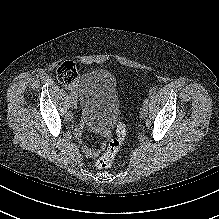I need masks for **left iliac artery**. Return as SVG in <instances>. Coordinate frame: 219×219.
<instances>
[{
  "label": "left iliac artery",
  "mask_w": 219,
  "mask_h": 219,
  "mask_svg": "<svg viewBox=\"0 0 219 219\" xmlns=\"http://www.w3.org/2000/svg\"><path fill=\"white\" fill-rule=\"evenodd\" d=\"M148 103H149V98H146L143 102V106L148 107Z\"/></svg>",
  "instance_id": "left-iliac-artery-1"
}]
</instances>
